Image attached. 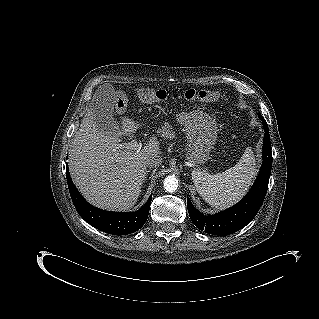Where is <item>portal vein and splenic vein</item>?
I'll return each instance as SVG.
<instances>
[{
  "label": "portal vein and splenic vein",
  "mask_w": 319,
  "mask_h": 319,
  "mask_svg": "<svg viewBox=\"0 0 319 319\" xmlns=\"http://www.w3.org/2000/svg\"><path fill=\"white\" fill-rule=\"evenodd\" d=\"M117 148L118 149L139 150L141 148V145L137 140H132L129 143L117 144Z\"/></svg>",
  "instance_id": "18ae733b"
}]
</instances>
